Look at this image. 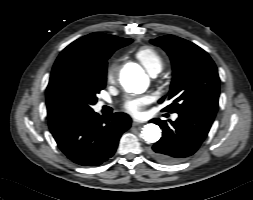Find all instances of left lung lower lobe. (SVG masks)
<instances>
[{
	"instance_id": "left-lung-lower-lobe-1",
	"label": "left lung lower lobe",
	"mask_w": 253,
	"mask_h": 200,
	"mask_svg": "<svg viewBox=\"0 0 253 200\" xmlns=\"http://www.w3.org/2000/svg\"><path fill=\"white\" fill-rule=\"evenodd\" d=\"M176 121L160 119L158 124L163 136L149 150V154L162 163L173 164L194 154L206 138L215 116L206 113H178Z\"/></svg>"
}]
</instances>
